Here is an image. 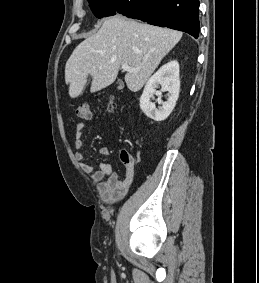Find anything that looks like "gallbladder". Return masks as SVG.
I'll use <instances>...</instances> for the list:
<instances>
[{
	"label": "gallbladder",
	"instance_id": "obj_1",
	"mask_svg": "<svg viewBox=\"0 0 259 283\" xmlns=\"http://www.w3.org/2000/svg\"><path fill=\"white\" fill-rule=\"evenodd\" d=\"M122 88H123V85H122V83H120L119 86H118V89L120 90Z\"/></svg>",
	"mask_w": 259,
	"mask_h": 283
}]
</instances>
